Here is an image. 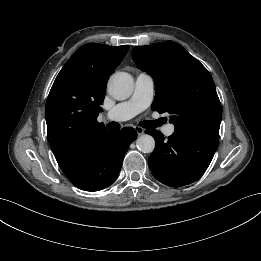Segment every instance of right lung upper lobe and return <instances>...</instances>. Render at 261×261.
<instances>
[{
	"mask_svg": "<svg viewBox=\"0 0 261 261\" xmlns=\"http://www.w3.org/2000/svg\"><path fill=\"white\" fill-rule=\"evenodd\" d=\"M128 46H81L57 75L45 108L48 141L68 175L82 165L108 130L97 121L107 81Z\"/></svg>",
	"mask_w": 261,
	"mask_h": 261,
	"instance_id": "right-lung-upper-lobe-1",
	"label": "right lung upper lobe"
}]
</instances>
